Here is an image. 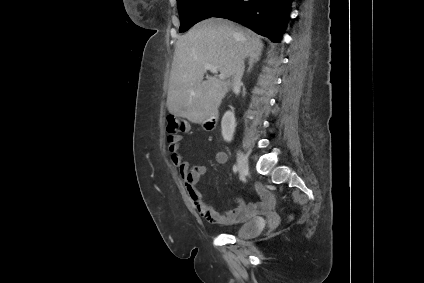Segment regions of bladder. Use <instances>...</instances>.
Returning <instances> with one entry per match:
<instances>
[{"instance_id":"bladder-1","label":"bladder","mask_w":424,"mask_h":283,"mask_svg":"<svg viewBox=\"0 0 424 283\" xmlns=\"http://www.w3.org/2000/svg\"><path fill=\"white\" fill-rule=\"evenodd\" d=\"M264 225V220H262L261 218H252L242 224L235 231V235L241 239L254 238L262 232Z\"/></svg>"}]
</instances>
